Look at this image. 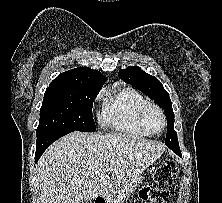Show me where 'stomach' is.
Here are the masks:
<instances>
[{
	"mask_svg": "<svg viewBox=\"0 0 222 203\" xmlns=\"http://www.w3.org/2000/svg\"><path fill=\"white\" fill-rule=\"evenodd\" d=\"M142 181H143V178L138 177L136 180L130 182L128 185H126L125 187L120 189L119 196H117L115 198L123 199V198L129 197L130 194L133 192V190L135 188H137L139 186V184L142 183ZM109 200H113V198L109 199Z\"/></svg>",
	"mask_w": 222,
	"mask_h": 203,
	"instance_id": "0dacf381",
	"label": "stomach"
}]
</instances>
